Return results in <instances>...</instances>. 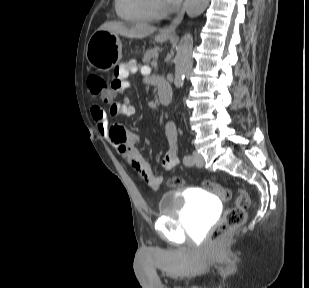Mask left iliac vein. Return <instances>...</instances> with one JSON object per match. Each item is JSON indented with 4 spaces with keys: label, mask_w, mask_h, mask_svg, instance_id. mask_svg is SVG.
Segmentation results:
<instances>
[{
    "label": "left iliac vein",
    "mask_w": 309,
    "mask_h": 288,
    "mask_svg": "<svg viewBox=\"0 0 309 288\" xmlns=\"http://www.w3.org/2000/svg\"><path fill=\"white\" fill-rule=\"evenodd\" d=\"M193 163L198 167H202L204 164V159L202 155L196 151L193 152Z\"/></svg>",
    "instance_id": "4c4485c4"
}]
</instances>
